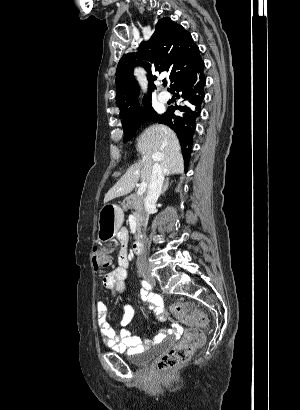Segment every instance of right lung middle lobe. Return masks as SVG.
<instances>
[{
  "label": "right lung middle lobe",
  "mask_w": 300,
  "mask_h": 410,
  "mask_svg": "<svg viewBox=\"0 0 300 410\" xmlns=\"http://www.w3.org/2000/svg\"><path fill=\"white\" fill-rule=\"evenodd\" d=\"M154 113L155 111L153 110L151 103H149L148 105L143 107L134 118L122 123L124 130V141H129V139L137 130V128L141 126L144 122L152 119L154 117Z\"/></svg>",
  "instance_id": "1"
}]
</instances>
